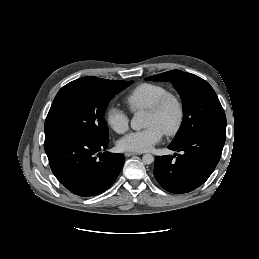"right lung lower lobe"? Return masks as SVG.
I'll use <instances>...</instances> for the list:
<instances>
[{"label": "right lung lower lobe", "mask_w": 259, "mask_h": 259, "mask_svg": "<svg viewBox=\"0 0 259 259\" xmlns=\"http://www.w3.org/2000/svg\"><path fill=\"white\" fill-rule=\"evenodd\" d=\"M108 141L62 134L45 137L44 148L51 170L60 183L70 192L88 197L107 190L123 167V154L101 153L108 148Z\"/></svg>", "instance_id": "98d812e1"}]
</instances>
